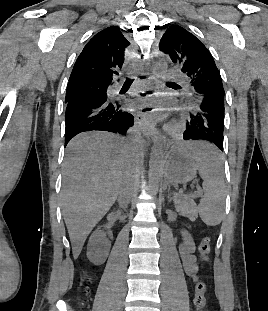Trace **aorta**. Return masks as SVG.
Wrapping results in <instances>:
<instances>
[{"label": "aorta", "mask_w": 268, "mask_h": 311, "mask_svg": "<svg viewBox=\"0 0 268 311\" xmlns=\"http://www.w3.org/2000/svg\"><path fill=\"white\" fill-rule=\"evenodd\" d=\"M153 72L155 73V82L158 83L157 90H160L161 83H165L168 78L169 70L166 65H153ZM159 101V121L157 122L158 128L164 127V122L162 121V101ZM165 138L161 133H157L154 139V144L151 151L150 165L148 172L149 179V192L155 196L158 193L160 180L162 177V161L165 156L164 153Z\"/></svg>", "instance_id": "1"}]
</instances>
